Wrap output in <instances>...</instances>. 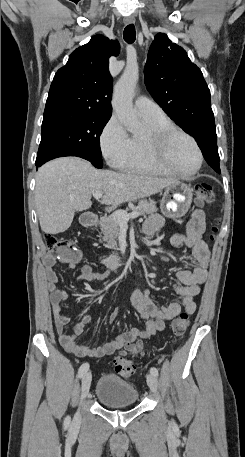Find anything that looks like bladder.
Instances as JSON below:
<instances>
[{"label": "bladder", "instance_id": "1", "mask_svg": "<svg viewBox=\"0 0 245 457\" xmlns=\"http://www.w3.org/2000/svg\"><path fill=\"white\" fill-rule=\"evenodd\" d=\"M96 396L106 406L132 405L138 400L135 385L111 375L100 377L96 386Z\"/></svg>", "mask_w": 245, "mask_h": 457}]
</instances>
